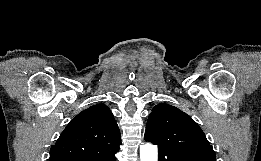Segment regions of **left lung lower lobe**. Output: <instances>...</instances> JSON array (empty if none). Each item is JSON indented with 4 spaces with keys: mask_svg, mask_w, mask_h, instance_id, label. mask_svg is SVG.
<instances>
[{
    "mask_svg": "<svg viewBox=\"0 0 261 161\" xmlns=\"http://www.w3.org/2000/svg\"><path fill=\"white\" fill-rule=\"evenodd\" d=\"M159 161H211L203 156L173 148H159Z\"/></svg>",
    "mask_w": 261,
    "mask_h": 161,
    "instance_id": "left-lung-lower-lobe-1",
    "label": "left lung lower lobe"
}]
</instances>
